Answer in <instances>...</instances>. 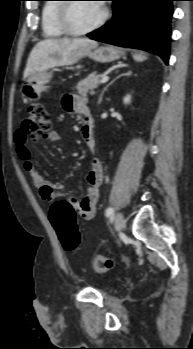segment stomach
Wrapping results in <instances>:
<instances>
[{
  "label": "stomach",
  "instance_id": "obj_1",
  "mask_svg": "<svg viewBox=\"0 0 193 349\" xmlns=\"http://www.w3.org/2000/svg\"><path fill=\"white\" fill-rule=\"evenodd\" d=\"M124 55V51L117 47L105 45L96 48L90 53L91 59L100 63H109L115 61ZM53 77V70L37 72L30 75L21 86V93L29 101H38L42 92L46 91L47 84Z\"/></svg>",
  "mask_w": 193,
  "mask_h": 349
}]
</instances>
